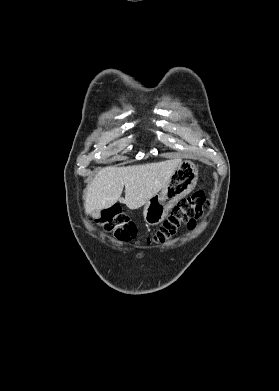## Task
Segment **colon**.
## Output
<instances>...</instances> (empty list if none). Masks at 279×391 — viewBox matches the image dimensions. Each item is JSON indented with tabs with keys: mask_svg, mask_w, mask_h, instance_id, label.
Segmentation results:
<instances>
[{
	"mask_svg": "<svg viewBox=\"0 0 279 391\" xmlns=\"http://www.w3.org/2000/svg\"><path fill=\"white\" fill-rule=\"evenodd\" d=\"M205 205L206 197L203 191H197L181 200L172 209L160 229L148 238V241L163 243L175 236L182 226L194 227L196 220L203 215ZM96 223L120 241L133 240L137 235L135 224L129 220L120 207L105 210L97 218Z\"/></svg>",
	"mask_w": 279,
	"mask_h": 391,
	"instance_id": "5ec220e1",
	"label": "colon"
}]
</instances>
